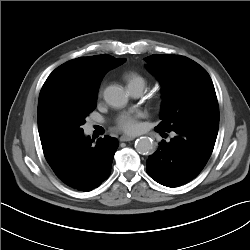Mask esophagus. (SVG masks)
I'll use <instances>...</instances> for the list:
<instances>
[{"label": "esophagus", "instance_id": "esophagus-1", "mask_svg": "<svg viewBox=\"0 0 250 250\" xmlns=\"http://www.w3.org/2000/svg\"><path fill=\"white\" fill-rule=\"evenodd\" d=\"M134 139H135V137L127 136V135H122V136L120 137V141H122V142L132 141V140H134Z\"/></svg>", "mask_w": 250, "mask_h": 250}]
</instances>
